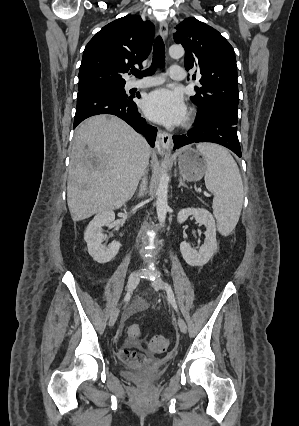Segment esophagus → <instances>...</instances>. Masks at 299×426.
Masks as SVG:
<instances>
[{
  "label": "esophagus",
  "instance_id": "1",
  "mask_svg": "<svg viewBox=\"0 0 299 426\" xmlns=\"http://www.w3.org/2000/svg\"><path fill=\"white\" fill-rule=\"evenodd\" d=\"M159 32L163 40L167 39L168 36V25L165 21H161L159 25ZM172 142L171 134L159 130L157 133V141H156V147L161 152H168L170 151Z\"/></svg>",
  "mask_w": 299,
  "mask_h": 426
}]
</instances>
